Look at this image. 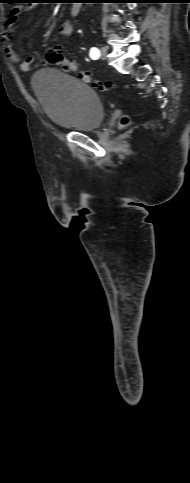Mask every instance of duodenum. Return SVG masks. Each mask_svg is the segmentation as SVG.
Wrapping results in <instances>:
<instances>
[{"label":"duodenum","instance_id":"obj_1","mask_svg":"<svg viewBox=\"0 0 190 483\" xmlns=\"http://www.w3.org/2000/svg\"><path fill=\"white\" fill-rule=\"evenodd\" d=\"M79 9H80V7L78 6V4L74 3V4H72V6L70 8V12L73 16H76L79 12Z\"/></svg>","mask_w":190,"mask_h":483}]
</instances>
